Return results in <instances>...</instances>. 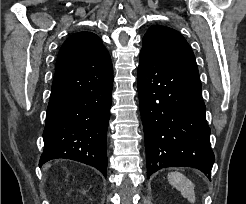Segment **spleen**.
Listing matches in <instances>:
<instances>
[{
  "instance_id": "3e777b00",
  "label": "spleen",
  "mask_w": 246,
  "mask_h": 204,
  "mask_svg": "<svg viewBox=\"0 0 246 204\" xmlns=\"http://www.w3.org/2000/svg\"><path fill=\"white\" fill-rule=\"evenodd\" d=\"M167 179L173 187L181 192L184 198H186L192 204L195 203V187L190 179L177 171L168 173Z\"/></svg>"
}]
</instances>
